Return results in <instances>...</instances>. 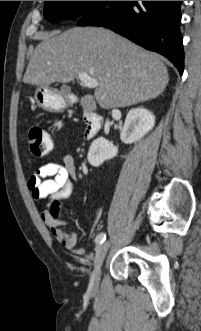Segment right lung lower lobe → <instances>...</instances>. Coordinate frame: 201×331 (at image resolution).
I'll list each match as a JSON object with an SVG mask.
<instances>
[{
	"mask_svg": "<svg viewBox=\"0 0 201 331\" xmlns=\"http://www.w3.org/2000/svg\"><path fill=\"white\" fill-rule=\"evenodd\" d=\"M182 1H102L78 26H104L138 45L167 57L183 74L184 51L179 29Z\"/></svg>",
	"mask_w": 201,
	"mask_h": 331,
	"instance_id": "1",
	"label": "right lung lower lobe"
}]
</instances>
